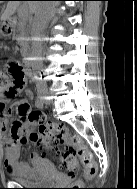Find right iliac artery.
Returning a JSON list of instances; mask_svg holds the SVG:
<instances>
[{"label": "right iliac artery", "instance_id": "obj_1", "mask_svg": "<svg viewBox=\"0 0 137 189\" xmlns=\"http://www.w3.org/2000/svg\"><path fill=\"white\" fill-rule=\"evenodd\" d=\"M36 106H37L38 108H40V109H42V108L44 107V104H43L41 98L36 101Z\"/></svg>", "mask_w": 137, "mask_h": 189}]
</instances>
